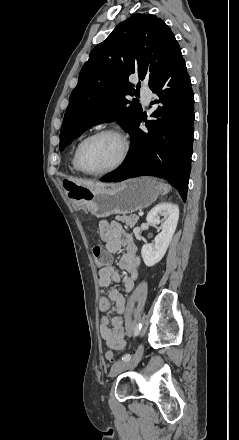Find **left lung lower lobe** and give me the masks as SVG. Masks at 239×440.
Instances as JSON below:
<instances>
[{
	"instance_id": "obj_1",
	"label": "left lung lower lobe",
	"mask_w": 239,
	"mask_h": 440,
	"mask_svg": "<svg viewBox=\"0 0 239 440\" xmlns=\"http://www.w3.org/2000/svg\"><path fill=\"white\" fill-rule=\"evenodd\" d=\"M161 103L146 122L147 131L139 129L144 116L128 132L132 147L126 162L115 173L101 178L119 182L137 176H159L177 183L186 200L194 139V94L181 49L174 45L160 74L149 85Z\"/></svg>"
}]
</instances>
